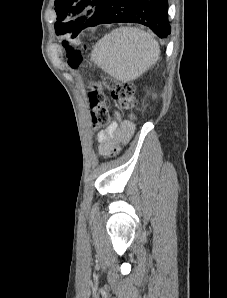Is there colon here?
<instances>
[{
    "label": "colon",
    "mask_w": 227,
    "mask_h": 298,
    "mask_svg": "<svg viewBox=\"0 0 227 298\" xmlns=\"http://www.w3.org/2000/svg\"><path fill=\"white\" fill-rule=\"evenodd\" d=\"M65 51L69 66L72 69H77L82 62L80 49L65 43ZM103 85L110 91L112 98L119 103L122 109H133L136 106L135 87L132 83L107 77L103 80ZM88 98L89 104L93 108L91 112L93 125H108L111 121V115L105 106L106 97L104 93L95 88L89 93Z\"/></svg>",
    "instance_id": "1"
}]
</instances>
